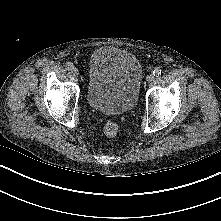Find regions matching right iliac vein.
Wrapping results in <instances>:
<instances>
[{"label": "right iliac vein", "mask_w": 221, "mask_h": 221, "mask_svg": "<svg viewBox=\"0 0 221 221\" xmlns=\"http://www.w3.org/2000/svg\"><path fill=\"white\" fill-rule=\"evenodd\" d=\"M71 73H72L74 76H77V75H79V70H78L77 68L73 67V68L71 69Z\"/></svg>", "instance_id": "obj_1"}]
</instances>
